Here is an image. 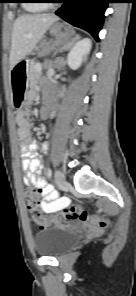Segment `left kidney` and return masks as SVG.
<instances>
[{"mask_svg":"<svg viewBox=\"0 0 136 296\" xmlns=\"http://www.w3.org/2000/svg\"><path fill=\"white\" fill-rule=\"evenodd\" d=\"M91 40L89 38H84L78 41L70 50L67 56V63L69 67L73 70L78 69L81 64L86 61L87 55L91 50Z\"/></svg>","mask_w":136,"mask_h":296,"instance_id":"obj_1","label":"left kidney"}]
</instances>
